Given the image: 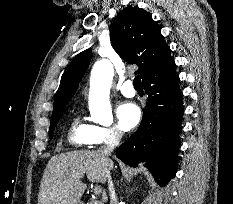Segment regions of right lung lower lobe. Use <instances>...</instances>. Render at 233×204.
Returning a JSON list of instances; mask_svg holds the SVG:
<instances>
[{
    "instance_id": "98d812e1",
    "label": "right lung lower lobe",
    "mask_w": 233,
    "mask_h": 204,
    "mask_svg": "<svg viewBox=\"0 0 233 204\" xmlns=\"http://www.w3.org/2000/svg\"><path fill=\"white\" fill-rule=\"evenodd\" d=\"M179 82L175 62L143 81L148 99L142 122L116 152L132 167L146 162L163 185L175 176L177 168L178 133L184 113Z\"/></svg>"
}]
</instances>
